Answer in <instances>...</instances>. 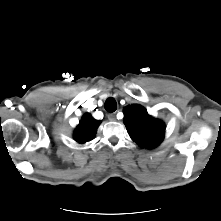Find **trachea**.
Here are the masks:
<instances>
[{
    "instance_id": "obj_1",
    "label": "trachea",
    "mask_w": 221,
    "mask_h": 221,
    "mask_svg": "<svg viewBox=\"0 0 221 221\" xmlns=\"http://www.w3.org/2000/svg\"><path fill=\"white\" fill-rule=\"evenodd\" d=\"M104 107L107 112L112 113L117 109V102L114 98L110 97L105 101Z\"/></svg>"
}]
</instances>
